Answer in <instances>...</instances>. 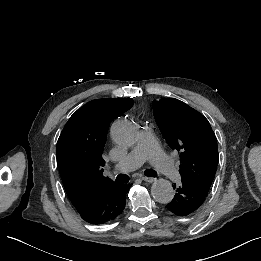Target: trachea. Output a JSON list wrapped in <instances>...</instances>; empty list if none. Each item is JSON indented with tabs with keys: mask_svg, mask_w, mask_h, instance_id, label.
Instances as JSON below:
<instances>
[{
	"mask_svg": "<svg viewBox=\"0 0 261 261\" xmlns=\"http://www.w3.org/2000/svg\"><path fill=\"white\" fill-rule=\"evenodd\" d=\"M144 174L149 177H157V172L153 169H146ZM117 183H126L129 181V176L126 174H119L115 180Z\"/></svg>",
	"mask_w": 261,
	"mask_h": 261,
	"instance_id": "3493384b",
	"label": "trachea"
}]
</instances>
